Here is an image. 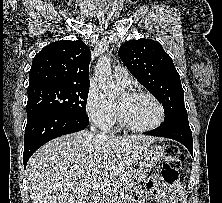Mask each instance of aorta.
Here are the masks:
<instances>
[{"instance_id": "obj_1", "label": "aorta", "mask_w": 222, "mask_h": 203, "mask_svg": "<svg viewBox=\"0 0 222 203\" xmlns=\"http://www.w3.org/2000/svg\"><path fill=\"white\" fill-rule=\"evenodd\" d=\"M95 76L99 88L108 98H115L120 93V89L114 84L111 76V61L108 57L102 56L95 66Z\"/></svg>"}]
</instances>
